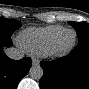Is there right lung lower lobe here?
<instances>
[{"instance_id": "98d812e1", "label": "right lung lower lobe", "mask_w": 89, "mask_h": 89, "mask_svg": "<svg viewBox=\"0 0 89 89\" xmlns=\"http://www.w3.org/2000/svg\"><path fill=\"white\" fill-rule=\"evenodd\" d=\"M10 37L0 38V89H16L19 81L31 68V58L12 60L1 50L3 46H11Z\"/></svg>"}]
</instances>
